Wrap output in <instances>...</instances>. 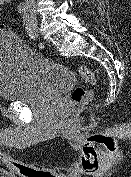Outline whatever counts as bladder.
<instances>
[{
  "instance_id": "1",
  "label": "bladder",
  "mask_w": 131,
  "mask_h": 177,
  "mask_svg": "<svg viewBox=\"0 0 131 177\" xmlns=\"http://www.w3.org/2000/svg\"><path fill=\"white\" fill-rule=\"evenodd\" d=\"M75 83L73 71L34 52L12 31H0V99L28 103L59 95Z\"/></svg>"
}]
</instances>
